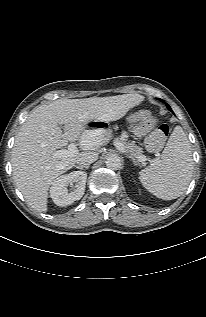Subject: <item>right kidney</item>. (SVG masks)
<instances>
[{
	"mask_svg": "<svg viewBox=\"0 0 206 317\" xmlns=\"http://www.w3.org/2000/svg\"><path fill=\"white\" fill-rule=\"evenodd\" d=\"M86 179L87 173L83 171H74L58 177L50 188V196L53 202L58 206H66L80 200L85 191ZM69 185L75 188L71 192L67 188Z\"/></svg>",
	"mask_w": 206,
	"mask_h": 317,
	"instance_id": "1",
	"label": "right kidney"
}]
</instances>
